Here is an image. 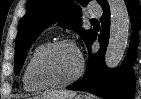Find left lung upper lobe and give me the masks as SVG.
Wrapping results in <instances>:
<instances>
[{
	"mask_svg": "<svg viewBox=\"0 0 141 99\" xmlns=\"http://www.w3.org/2000/svg\"><path fill=\"white\" fill-rule=\"evenodd\" d=\"M89 0H28L27 12L21 19L15 47V73H18L24 63V58L31 44L40 32L52 23L60 21L69 29H77L87 43L94 33L93 30L79 28L81 7ZM101 7L107 5L106 0H98Z\"/></svg>",
	"mask_w": 141,
	"mask_h": 99,
	"instance_id": "5c2ea615",
	"label": "left lung upper lobe"
}]
</instances>
